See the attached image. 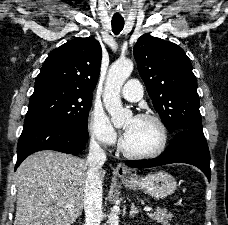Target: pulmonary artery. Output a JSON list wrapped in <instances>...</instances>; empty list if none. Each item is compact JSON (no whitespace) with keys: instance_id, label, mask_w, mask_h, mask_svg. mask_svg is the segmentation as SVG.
Returning <instances> with one entry per match:
<instances>
[{"instance_id":"pulmonary-artery-1","label":"pulmonary artery","mask_w":228,"mask_h":225,"mask_svg":"<svg viewBox=\"0 0 228 225\" xmlns=\"http://www.w3.org/2000/svg\"><path fill=\"white\" fill-rule=\"evenodd\" d=\"M142 85L140 81H127V85H123L122 96L131 102L138 101L141 98Z\"/></svg>"}]
</instances>
